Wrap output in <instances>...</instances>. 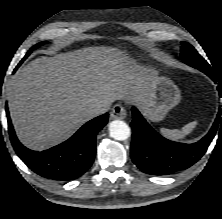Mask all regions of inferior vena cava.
Returning <instances> with one entry per match:
<instances>
[{
    "label": "inferior vena cava",
    "instance_id": "1",
    "mask_svg": "<svg viewBox=\"0 0 222 219\" xmlns=\"http://www.w3.org/2000/svg\"><path fill=\"white\" fill-rule=\"evenodd\" d=\"M109 109H110V105L108 104H98V105L93 106L90 109V113L92 116L95 117V116L106 113Z\"/></svg>",
    "mask_w": 222,
    "mask_h": 219
}]
</instances>
